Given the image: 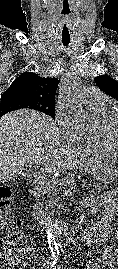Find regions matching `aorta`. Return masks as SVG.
Here are the masks:
<instances>
[{
  "instance_id": "1",
  "label": "aorta",
  "mask_w": 118,
  "mask_h": 269,
  "mask_svg": "<svg viewBox=\"0 0 118 269\" xmlns=\"http://www.w3.org/2000/svg\"><path fill=\"white\" fill-rule=\"evenodd\" d=\"M81 81L75 74L67 75L61 82L59 98L62 108L83 129L90 130L95 124L82 103ZM46 239L51 251H58V243L51 229H46Z\"/></svg>"
}]
</instances>
